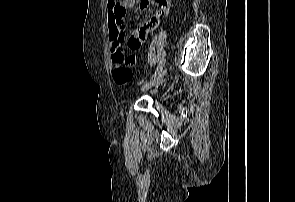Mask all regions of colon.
<instances>
[{
	"label": "colon",
	"mask_w": 295,
	"mask_h": 202,
	"mask_svg": "<svg viewBox=\"0 0 295 202\" xmlns=\"http://www.w3.org/2000/svg\"><path fill=\"white\" fill-rule=\"evenodd\" d=\"M114 56L113 79L117 85L127 87L133 79V74L129 67L133 58L122 52H116Z\"/></svg>",
	"instance_id": "5ec220e1"
}]
</instances>
